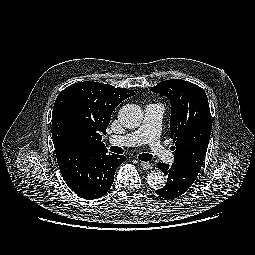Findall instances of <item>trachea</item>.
Instances as JSON below:
<instances>
[{"instance_id":"obj_1","label":"trachea","mask_w":255,"mask_h":255,"mask_svg":"<svg viewBox=\"0 0 255 255\" xmlns=\"http://www.w3.org/2000/svg\"><path fill=\"white\" fill-rule=\"evenodd\" d=\"M110 151L117 154H123L124 150L118 146H111ZM141 161H150L153 158L152 154L142 153L138 156Z\"/></svg>"}]
</instances>
